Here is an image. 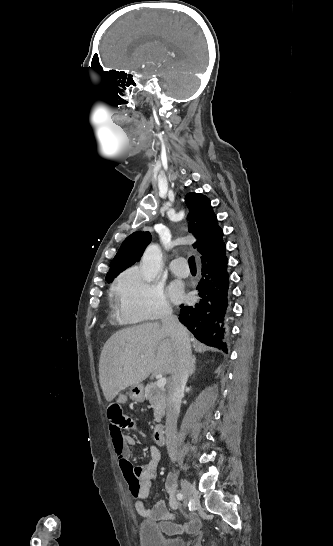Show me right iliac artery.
<instances>
[{
	"label": "right iliac artery",
	"instance_id": "1",
	"mask_svg": "<svg viewBox=\"0 0 333 546\" xmlns=\"http://www.w3.org/2000/svg\"><path fill=\"white\" fill-rule=\"evenodd\" d=\"M176 497H177L178 500H182V499H183V494H182V493H178V494L176 495Z\"/></svg>",
	"mask_w": 333,
	"mask_h": 546
}]
</instances>
